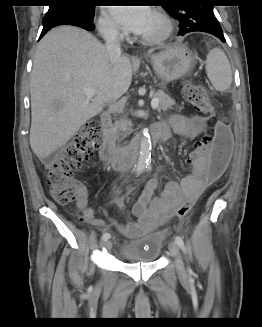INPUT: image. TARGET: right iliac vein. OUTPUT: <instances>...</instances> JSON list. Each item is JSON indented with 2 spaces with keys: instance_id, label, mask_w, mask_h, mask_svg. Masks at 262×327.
<instances>
[{
  "instance_id": "obj_1",
  "label": "right iliac vein",
  "mask_w": 262,
  "mask_h": 327,
  "mask_svg": "<svg viewBox=\"0 0 262 327\" xmlns=\"http://www.w3.org/2000/svg\"><path fill=\"white\" fill-rule=\"evenodd\" d=\"M102 246L106 250H111V248H112V242L110 240H105V241L102 242Z\"/></svg>"
}]
</instances>
